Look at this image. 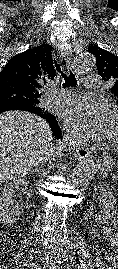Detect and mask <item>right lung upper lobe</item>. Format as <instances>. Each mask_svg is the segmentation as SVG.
<instances>
[{
    "instance_id": "right-lung-upper-lobe-1",
    "label": "right lung upper lobe",
    "mask_w": 118,
    "mask_h": 269,
    "mask_svg": "<svg viewBox=\"0 0 118 269\" xmlns=\"http://www.w3.org/2000/svg\"><path fill=\"white\" fill-rule=\"evenodd\" d=\"M52 57V46L42 44L11 58L0 72V104L17 102L16 97L31 100L32 105L28 106L33 113L49 122L55 133L58 128L56 118L39 106L43 87L56 73Z\"/></svg>"
}]
</instances>
